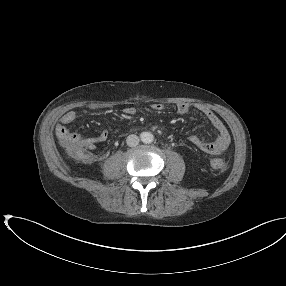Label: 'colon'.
<instances>
[{
    "instance_id": "colon-1",
    "label": "colon",
    "mask_w": 286,
    "mask_h": 286,
    "mask_svg": "<svg viewBox=\"0 0 286 286\" xmlns=\"http://www.w3.org/2000/svg\"><path fill=\"white\" fill-rule=\"evenodd\" d=\"M61 144L67 153L77 160L85 162L92 159L91 155L81 146L76 135H69L61 139ZM210 164L214 169H223L225 167V162L222 159H212Z\"/></svg>"
}]
</instances>
